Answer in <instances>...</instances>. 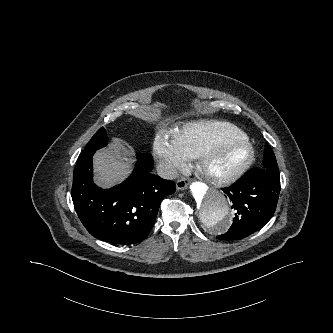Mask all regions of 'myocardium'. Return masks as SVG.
I'll use <instances>...</instances> for the list:
<instances>
[{"mask_svg": "<svg viewBox=\"0 0 333 333\" xmlns=\"http://www.w3.org/2000/svg\"><path fill=\"white\" fill-rule=\"evenodd\" d=\"M231 143L243 145L245 155L243 159L231 170L223 173H215L209 169V163L213 155L223 146ZM197 165L203 176L211 183L225 186L235 182L252 165L255 160V149L249 138L240 136H224L209 143L196 158Z\"/></svg>", "mask_w": 333, "mask_h": 333, "instance_id": "obj_1", "label": "myocardium"}]
</instances>
